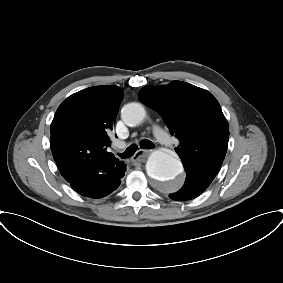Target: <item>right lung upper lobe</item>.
I'll list each match as a JSON object with an SVG mask.
<instances>
[{
	"label": "right lung upper lobe",
	"instance_id": "obj_1",
	"mask_svg": "<svg viewBox=\"0 0 283 283\" xmlns=\"http://www.w3.org/2000/svg\"><path fill=\"white\" fill-rule=\"evenodd\" d=\"M123 95L117 86L90 87L72 94L57 109L50 145L66 181L101 161H118L106 149Z\"/></svg>",
	"mask_w": 283,
	"mask_h": 283
}]
</instances>
